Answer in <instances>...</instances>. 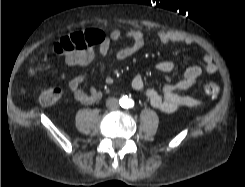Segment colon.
Here are the masks:
<instances>
[{"label": "colon", "instance_id": "colon-1", "mask_svg": "<svg viewBox=\"0 0 245 187\" xmlns=\"http://www.w3.org/2000/svg\"><path fill=\"white\" fill-rule=\"evenodd\" d=\"M90 46L91 44L86 38V31H80L60 38L54 45V51L62 54L66 52L85 50ZM38 71V66H32L29 68V73L31 75H36ZM202 90L205 94L211 97H216L220 93V86L216 83H205L202 85ZM62 94L63 91L59 86H44L40 94V103L44 106H51L60 100Z\"/></svg>", "mask_w": 245, "mask_h": 187}]
</instances>
